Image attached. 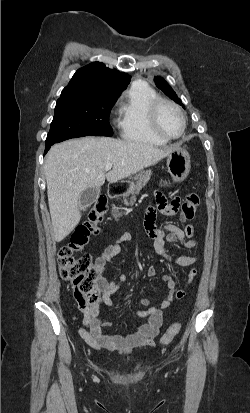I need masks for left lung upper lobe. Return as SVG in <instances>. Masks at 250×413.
Listing matches in <instances>:
<instances>
[{"instance_id": "5c2ea615", "label": "left lung upper lobe", "mask_w": 250, "mask_h": 413, "mask_svg": "<svg viewBox=\"0 0 250 413\" xmlns=\"http://www.w3.org/2000/svg\"><path fill=\"white\" fill-rule=\"evenodd\" d=\"M155 83L172 100H174L175 102H177L178 104L184 107L181 100L177 97L176 93L173 91V89L169 86V84L163 78L155 77Z\"/></svg>"}]
</instances>
